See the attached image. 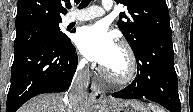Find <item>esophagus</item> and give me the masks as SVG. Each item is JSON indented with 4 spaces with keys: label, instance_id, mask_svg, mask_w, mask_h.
<instances>
[{
    "label": "esophagus",
    "instance_id": "esophagus-1",
    "mask_svg": "<svg viewBox=\"0 0 193 112\" xmlns=\"http://www.w3.org/2000/svg\"><path fill=\"white\" fill-rule=\"evenodd\" d=\"M92 89H93L94 98H95L96 100L101 101V100L104 99V92H103L102 89L99 87V85H97L96 83H93Z\"/></svg>",
    "mask_w": 193,
    "mask_h": 112
}]
</instances>
